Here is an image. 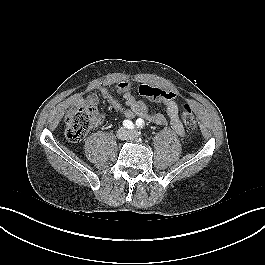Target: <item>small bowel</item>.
<instances>
[{
  "instance_id": "obj_1",
  "label": "small bowel",
  "mask_w": 265,
  "mask_h": 265,
  "mask_svg": "<svg viewBox=\"0 0 265 265\" xmlns=\"http://www.w3.org/2000/svg\"><path fill=\"white\" fill-rule=\"evenodd\" d=\"M116 91L122 96L125 106L106 88H101L98 94L92 93L85 100H80V102L85 101L96 105L99 102V97H101L107 100L114 108L122 111L128 118L139 117L142 120L157 125H165L169 119L172 129L178 135L183 136L185 134L184 126L178 115L176 97L161 101L165 106L166 115L168 117L167 119V117L162 113L151 112L143 101L135 98L128 83L118 84ZM167 92L176 96V94L172 91Z\"/></svg>"
}]
</instances>
